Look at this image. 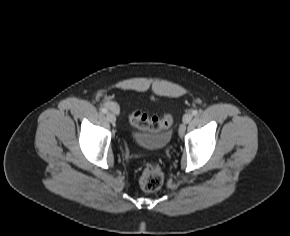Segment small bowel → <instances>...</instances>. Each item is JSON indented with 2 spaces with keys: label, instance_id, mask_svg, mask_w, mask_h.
Wrapping results in <instances>:
<instances>
[{
  "label": "small bowel",
  "instance_id": "1",
  "mask_svg": "<svg viewBox=\"0 0 290 236\" xmlns=\"http://www.w3.org/2000/svg\"><path fill=\"white\" fill-rule=\"evenodd\" d=\"M105 104H106V106H107L110 110H112V111H114V112H117V111H118V107L116 106V104H114V103H112V102H110V101L106 102Z\"/></svg>",
  "mask_w": 290,
  "mask_h": 236
}]
</instances>
